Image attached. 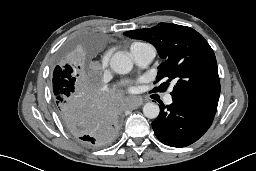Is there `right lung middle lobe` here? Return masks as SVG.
Masks as SVG:
<instances>
[{
  "label": "right lung middle lobe",
  "mask_w": 256,
  "mask_h": 171,
  "mask_svg": "<svg viewBox=\"0 0 256 171\" xmlns=\"http://www.w3.org/2000/svg\"><path fill=\"white\" fill-rule=\"evenodd\" d=\"M76 69L69 64V58L60 61L53 72L54 100L58 110L74 103L83 93L85 88L77 83Z\"/></svg>",
  "instance_id": "dd1d6c3e"
}]
</instances>
